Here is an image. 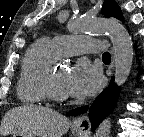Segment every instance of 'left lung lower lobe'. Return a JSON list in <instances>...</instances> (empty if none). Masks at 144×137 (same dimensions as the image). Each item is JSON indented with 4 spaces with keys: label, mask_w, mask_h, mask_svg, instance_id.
Returning a JSON list of instances; mask_svg holds the SVG:
<instances>
[{
    "label": "left lung lower lobe",
    "mask_w": 144,
    "mask_h": 137,
    "mask_svg": "<svg viewBox=\"0 0 144 137\" xmlns=\"http://www.w3.org/2000/svg\"><path fill=\"white\" fill-rule=\"evenodd\" d=\"M120 90L121 88H117L115 83L111 81L110 85L93 102L89 109V119L92 124V130H94L100 122L112 112L117 103ZM85 111H87V107H80L70 111L68 114L76 116Z\"/></svg>",
    "instance_id": "1"
}]
</instances>
